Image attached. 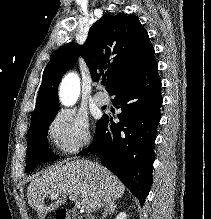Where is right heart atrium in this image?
<instances>
[{
    "label": "right heart atrium",
    "instance_id": "1",
    "mask_svg": "<svg viewBox=\"0 0 211 219\" xmlns=\"http://www.w3.org/2000/svg\"><path fill=\"white\" fill-rule=\"evenodd\" d=\"M50 142L61 153L75 154L92 142L87 118L73 110H60L47 127Z\"/></svg>",
    "mask_w": 211,
    "mask_h": 219
}]
</instances>
